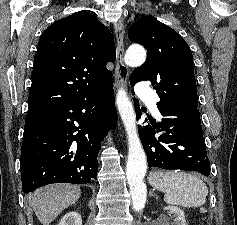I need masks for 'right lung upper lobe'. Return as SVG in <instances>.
I'll use <instances>...</instances> for the list:
<instances>
[{
  "label": "right lung upper lobe",
  "instance_id": "cb5924a9",
  "mask_svg": "<svg viewBox=\"0 0 237 225\" xmlns=\"http://www.w3.org/2000/svg\"><path fill=\"white\" fill-rule=\"evenodd\" d=\"M114 36L86 11L56 21L38 42L28 109L63 103L112 82Z\"/></svg>",
  "mask_w": 237,
  "mask_h": 225
}]
</instances>
